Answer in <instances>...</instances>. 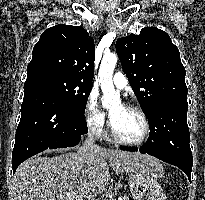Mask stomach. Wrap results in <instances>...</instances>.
Instances as JSON below:
<instances>
[{
  "mask_svg": "<svg viewBox=\"0 0 205 200\" xmlns=\"http://www.w3.org/2000/svg\"><path fill=\"white\" fill-rule=\"evenodd\" d=\"M157 172L161 165L154 167ZM129 186L133 200H166L165 193L153 172L137 171L129 175Z\"/></svg>",
  "mask_w": 205,
  "mask_h": 200,
  "instance_id": "stomach-1",
  "label": "stomach"
}]
</instances>
